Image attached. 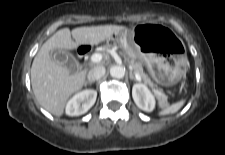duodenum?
Returning <instances> with one entry per match:
<instances>
[{"instance_id": "410a0bca", "label": "duodenum", "mask_w": 225, "mask_h": 155, "mask_svg": "<svg viewBox=\"0 0 225 155\" xmlns=\"http://www.w3.org/2000/svg\"><path fill=\"white\" fill-rule=\"evenodd\" d=\"M86 51H87V49H86L85 47H83V46H81V47H79V48L77 49V53H78V55H79L80 57L84 56V54L86 53Z\"/></svg>"}]
</instances>
